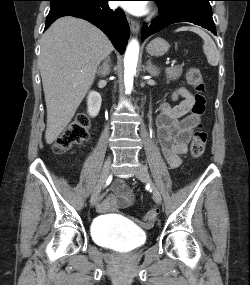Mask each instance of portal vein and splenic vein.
<instances>
[{"label":"portal vein and splenic vein","mask_w":250,"mask_h":285,"mask_svg":"<svg viewBox=\"0 0 250 285\" xmlns=\"http://www.w3.org/2000/svg\"><path fill=\"white\" fill-rule=\"evenodd\" d=\"M174 63V61L172 62V64ZM166 64H169V62H166Z\"/></svg>","instance_id":"18ae733b"}]
</instances>
